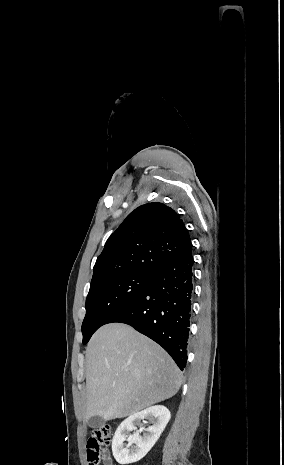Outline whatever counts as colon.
Listing matches in <instances>:
<instances>
[{
	"instance_id": "5ec220e1",
	"label": "colon",
	"mask_w": 284,
	"mask_h": 465,
	"mask_svg": "<svg viewBox=\"0 0 284 465\" xmlns=\"http://www.w3.org/2000/svg\"><path fill=\"white\" fill-rule=\"evenodd\" d=\"M112 438V430L110 427H92L89 435L86 437V448L94 452L87 453V460L90 465H98L99 451Z\"/></svg>"
}]
</instances>
